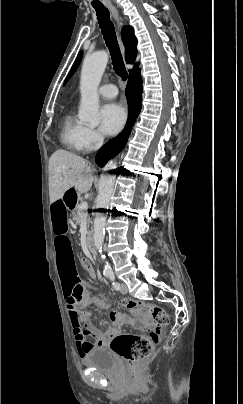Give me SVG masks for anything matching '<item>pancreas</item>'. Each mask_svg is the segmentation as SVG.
Masks as SVG:
<instances>
[{
	"label": "pancreas",
	"mask_w": 243,
	"mask_h": 404,
	"mask_svg": "<svg viewBox=\"0 0 243 404\" xmlns=\"http://www.w3.org/2000/svg\"><path fill=\"white\" fill-rule=\"evenodd\" d=\"M82 204H78L77 208H75L73 212V220L75 224H81L82 218H88L87 212L85 210H81ZM88 224H90V220H87ZM88 236H90L91 232H87Z\"/></svg>",
	"instance_id": "1"
}]
</instances>
